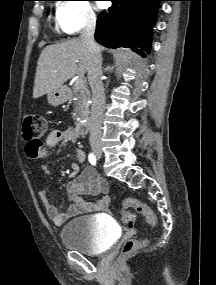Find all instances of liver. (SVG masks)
Segmentation results:
<instances>
[{
  "label": "liver",
  "instance_id": "liver-1",
  "mask_svg": "<svg viewBox=\"0 0 216 285\" xmlns=\"http://www.w3.org/2000/svg\"><path fill=\"white\" fill-rule=\"evenodd\" d=\"M99 48L101 51L102 48ZM88 65L89 53L81 38L45 47L37 63L33 98L62 87L76 74L84 75Z\"/></svg>",
  "mask_w": 216,
  "mask_h": 285
}]
</instances>
